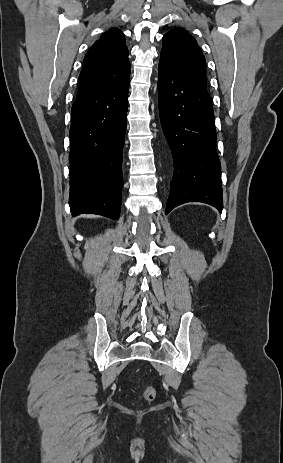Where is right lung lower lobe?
<instances>
[{"mask_svg":"<svg viewBox=\"0 0 283 463\" xmlns=\"http://www.w3.org/2000/svg\"><path fill=\"white\" fill-rule=\"evenodd\" d=\"M129 77L78 96L71 109L70 200L73 215L119 219Z\"/></svg>","mask_w":283,"mask_h":463,"instance_id":"right-lung-lower-lobe-1","label":"right lung lower lobe"}]
</instances>
